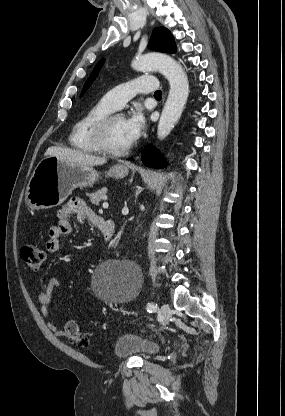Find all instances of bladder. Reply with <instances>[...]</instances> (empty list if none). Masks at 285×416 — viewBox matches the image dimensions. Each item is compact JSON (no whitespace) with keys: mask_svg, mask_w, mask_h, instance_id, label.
<instances>
[{"mask_svg":"<svg viewBox=\"0 0 285 416\" xmlns=\"http://www.w3.org/2000/svg\"><path fill=\"white\" fill-rule=\"evenodd\" d=\"M155 340H147L142 334H122L117 339L113 353L118 357L136 356L141 359L151 358L159 351Z\"/></svg>","mask_w":285,"mask_h":416,"instance_id":"1","label":"bladder"}]
</instances>
